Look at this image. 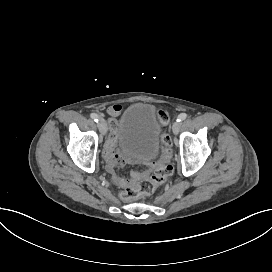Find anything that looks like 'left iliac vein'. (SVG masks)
Listing matches in <instances>:
<instances>
[{
    "mask_svg": "<svg viewBox=\"0 0 272 272\" xmlns=\"http://www.w3.org/2000/svg\"><path fill=\"white\" fill-rule=\"evenodd\" d=\"M179 122H175L174 124H173V127H172V130H173V133L174 134H177L178 133V131H179Z\"/></svg>",
    "mask_w": 272,
    "mask_h": 272,
    "instance_id": "left-iliac-vein-1",
    "label": "left iliac vein"
}]
</instances>
